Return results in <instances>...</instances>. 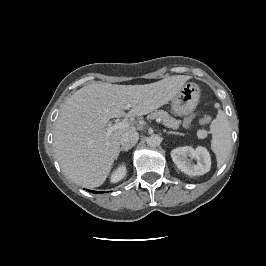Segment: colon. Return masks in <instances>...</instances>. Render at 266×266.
Segmentation results:
<instances>
[{
    "mask_svg": "<svg viewBox=\"0 0 266 266\" xmlns=\"http://www.w3.org/2000/svg\"><path fill=\"white\" fill-rule=\"evenodd\" d=\"M194 118H195V115H190V116L186 117L185 120H184V125L186 127H190L192 125L193 121H194ZM209 121H210V117L207 116V115L203 116L200 119V122L202 124H207V123H209Z\"/></svg>",
    "mask_w": 266,
    "mask_h": 266,
    "instance_id": "obj_1",
    "label": "colon"
}]
</instances>
